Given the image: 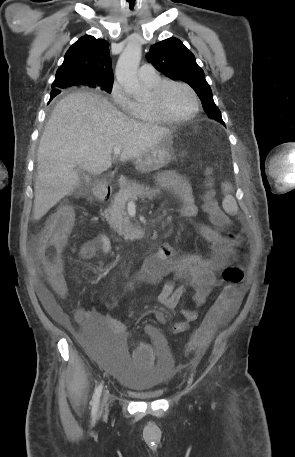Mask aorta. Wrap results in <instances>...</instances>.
<instances>
[{"mask_svg": "<svg viewBox=\"0 0 295 457\" xmlns=\"http://www.w3.org/2000/svg\"><path fill=\"white\" fill-rule=\"evenodd\" d=\"M142 56V47L140 44L131 42L121 53L115 75L118 83L122 88L133 97H140L143 89L137 77V68Z\"/></svg>", "mask_w": 295, "mask_h": 457, "instance_id": "1", "label": "aorta"}]
</instances>
